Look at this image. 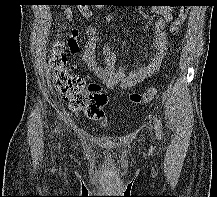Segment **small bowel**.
Wrapping results in <instances>:
<instances>
[{"label":"small bowel","instance_id":"1","mask_svg":"<svg viewBox=\"0 0 217 197\" xmlns=\"http://www.w3.org/2000/svg\"><path fill=\"white\" fill-rule=\"evenodd\" d=\"M80 11L85 17L92 16V12L88 8L81 7ZM152 11L161 14V18L155 22V33L152 40L154 54L145 64L132 69L129 74H126L123 68H116V53L108 45L103 48V65L98 63L96 58L99 43L97 30L93 26L86 29L87 42L82 59L108 89H114L115 87L122 89L132 88L154 74L163 62L167 53L165 27L172 19V10L170 5L162 4L154 5ZM63 13L67 21L72 22L74 20V13L71 8H64ZM114 18L115 13H111L108 16L109 21ZM77 36V32H73L68 41L72 55H75L78 49Z\"/></svg>","mask_w":217,"mask_h":197}]
</instances>
